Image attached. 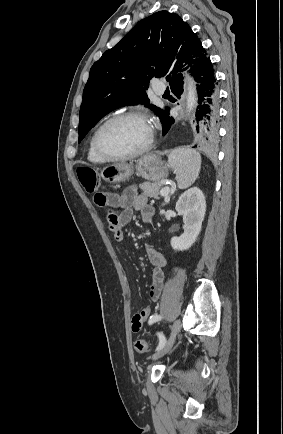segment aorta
<instances>
[{"mask_svg":"<svg viewBox=\"0 0 283 434\" xmlns=\"http://www.w3.org/2000/svg\"><path fill=\"white\" fill-rule=\"evenodd\" d=\"M185 84L187 88L186 111L190 113L194 109L197 103V90H196L194 79L187 73L185 74Z\"/></svg>","mask_w":283,"mask_h":434,"instance_id":"762f6f07","label":"aorta"}]
</instances>
